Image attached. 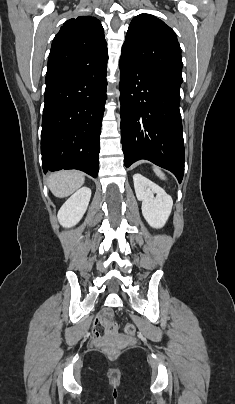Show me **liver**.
<instances>
[{
    "mask_svg": "<svg viewBox=\"0 0 235 404\" xmlns=\"http://www.w3.org/2000/svg\"><path fill=\"white\" fill-rule=\"evenodd\" d=\"M84 180V174L80 171L62 170L50 174L47 183L53 195L64 198L79 189Z\"/></svg>",
    "mask_w": 235,
    "mask_h": 404,
    "instance_id": "1",
    "label": "liver"
}]
</instances>
